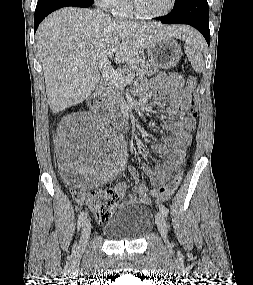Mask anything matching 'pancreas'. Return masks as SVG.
Returning <instances> with one entry per match:
<instances>
[{
	"label": "pancreas",
	"mask_w": 253,
	"mask_h": 285,
	"mask_svg": "<svg viewBox=\"0 0 253 285\" xmlns=\"http://www.w3.org/2000/svg\"><path fill=\"white\" fill-rule=\"evenodd\" d=\"M158 71V68L152 66L146 62H137L123 67L119 73L125 74H134L138 77L152 76ZM121 85L113 84L109 79L105 80L100 89L99 94L102 100V103L106 109L113 112L117 110L119 100L121 98V93L119 91Z\"/></svg>",
	"instance_id": "pancreas-1"
}]
</instances>
